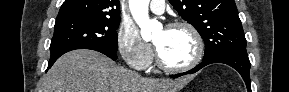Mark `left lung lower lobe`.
Wrapping results in <instances>:
<instances>
[{
	"mask_svg": "<svg viewBox=\"0 0 289 92\" xmlns=\"http://www.w3.org/2000/svg\"><path fill=\"white\" fill-rule=\"evenodd\" d=\"M212 63H224L236 69L240 73L242 78L244 79L248 92H251V84H250V76H249L250 61H249L247 53H242V52H223V53H218L207 58H203L202 62L199 65H197L195 68L184 73L170 75V77L177 78L186 74H193L199 71L201 68L205 67L206 65H209Z\"/></svg>",
	"mask_w": 289,
	"mask_h": 92,
	"instance_id": "obj_1",
	"label": "left lung lower lobe"
}]
</instances>
